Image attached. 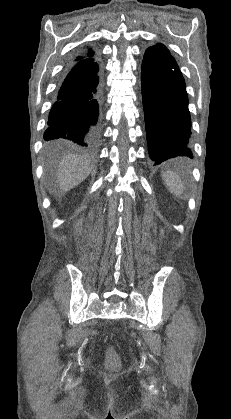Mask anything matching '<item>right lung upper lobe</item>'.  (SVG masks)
Wrapping results in <instances>:
<instances>
[{
    "label": "right lung upper lobe",
    "mask_w": 231,
    "mask_h": 419,
    "mask_svg": "<svg viewBox=\"0 0 231 419\" xmlns=\"http://www.w3.org/2000/svg\"><path fill=\"white\" fill-rule=\"evenodd\" d=\"M93 55H94V52L92 51V49L88 48L87 50L81 52L78 56H76L74 61L91 58Z\"/></svg>",
    "instance_id": "1"
}]
</instances>
